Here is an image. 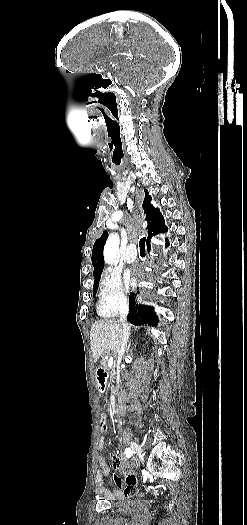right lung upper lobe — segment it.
<instances>
[{
	"label": "right lung upper lobe",
	"mask_w": 247,
	"mask_h": 525,
	"mask_svg": "<svg viewBox=\"0 0 247 525\" xmlns=\"http://www.w3.org/2000/svg\"><path fill=\"white\" fill-rule=\"evenodd\" d=\"M151 196L149 192L145 190V198L143 202V209L146 213V221L148 223V237L155 233L158 229L164 226L163 216L157 208H155L151 203ZM108 234L103 232L102 236L97 239L93 246L92 251V264L94 267L93 275H101L103 267V248Z\"/></svg>",
	"instance_id": "obj_1"
}]
</instances>
